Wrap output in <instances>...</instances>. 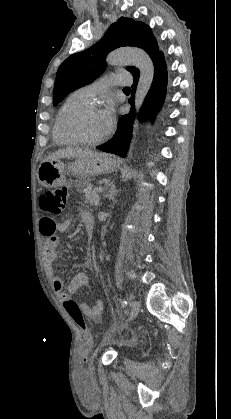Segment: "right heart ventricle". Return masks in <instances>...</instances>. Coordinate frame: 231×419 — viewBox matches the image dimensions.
I'll return each instance as SVG.
<instances>
[{"label": "right heart ventricle", "instance_id": "right-heart-ventricle-1", "mask_svg": "<svg viewBox=\"0 0 231 419\" xmlns=\"http://www.w3.org/2000/svg\"><path fill=\"white\" fill-rule=\"evenodd\" d=\"M89 102V100L87 98H85L80 92L79 90L73 92L72 94H70L67 99L64 101V103L60 106V108L58 109L56 116H55V120H54V125H53V130H52V135H53V140L57 143V144H61V145H73L76 144L77 142L73 141L72 139H70L64 132L63 130V121L65 116L73 109H75L76 107H79L81 105L87 104Z\"/></svg>", "mask_w": 231, "mask_h": 419}]
</instances>
